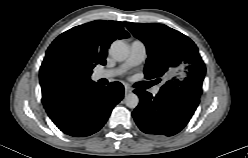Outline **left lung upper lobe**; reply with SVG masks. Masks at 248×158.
<instances>
[{"instance_id":"left-lung-upper-lobe-1","label":"left lung upper lobe","mask_w":248,"mask_h":158,"mask_svg":"<svg viewBox=\"0 0 248 158\" xmlns=\"http://www.w3.org/2000/svg\"><path fill=\"white\" fill-rule=\"evenodd\" d=\"M130 32L147 49L144 74L147 79L167 78L159 93H182L200 98L206 73L205 64L194 42L184 34L162 24L125 22Z\"/></svg>"}]
</instances>
